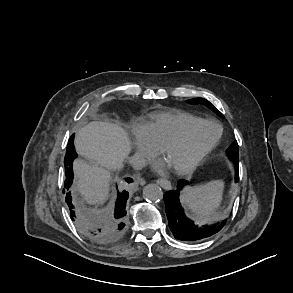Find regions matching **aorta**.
<instances>
[{"label": "aorta", "mask_w": 293, "mask_h": 293, "mask_svg": "<svg viewBox=\"0 0 293 293\" xmlns=\"http://www.w3.org/2000/svg\"><path fill=\"white\" fill-rule=\"evenodd\" d=\"M143 197L149 202L156 203L163 198V191L156 184H148L143 189Z\"/></svg>", "instance_id": "1"}]
</instances>
